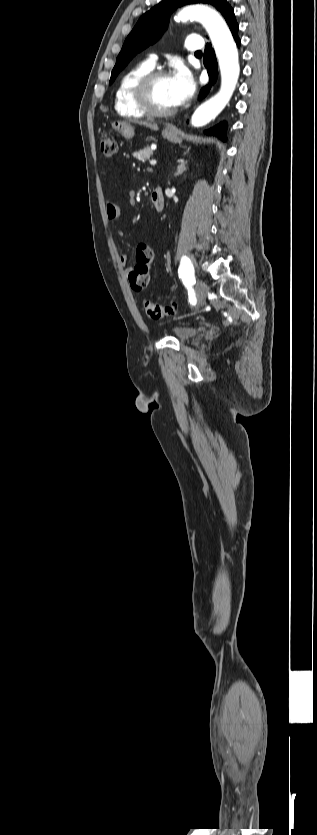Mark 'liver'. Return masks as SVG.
<instances>
[{
	"instance_id": "6515ba94",
	"label": "liver",
	"mask_w": 317,
	"mask_h": 835,
	"mask_svg": "<svg viewBox=\"0 0 317 835\" xmlns=\"http://www.w3.org/2000/svg\"><path fill=\"white\" fill-rule=\"evenodd\" d=\"M138 124L141 125V126H145L147 128H150L151 130H154V131L158 130L157 124H152V123L145 122V121L138 122Z\"/></svg>"
}]
</instances>
